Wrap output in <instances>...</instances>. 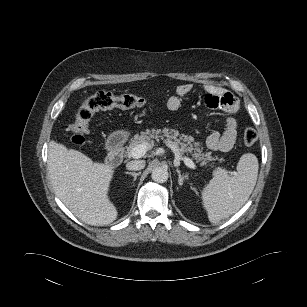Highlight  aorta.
Instances as JSON below:
<instances>
[{
	"mask_svg": "<svg viewBox=\"0 0 307 307\" xmlns=\"http://www.w3.org/2000/svg\"><path fill=\"white\" fill-rule=\"evenodd\" d=\"M168 170L163 167H156L152 170V180L157 183H164L168 180Z\"/></svg>",
	"mask_w": 307,
	"mask_h": 307,
	"instance_id": "aorta-1",
	"label": "aorta"
}]
</instances>
